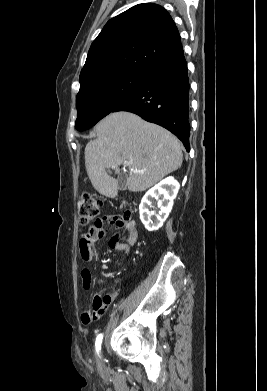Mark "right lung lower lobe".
Returning <instances> with one entry per match:
<instances>
[{"instance_id": "right-lung-lower-lobe-1", "label": "right lung lower lobe", "mask_w": 267, "mask_h": 391, "mask_svg": "<svg viewBox=\"0 0 267 391\" xmlns=\"http://www.w3.org/2000/svg\"><path fill=\"white\" fill-rule=\"evenodd\" d=\"M189 86L183 53L152 68L142 85L111 112L129 111L168 129L189 152Z\"/></svg>"}]
</instances>
